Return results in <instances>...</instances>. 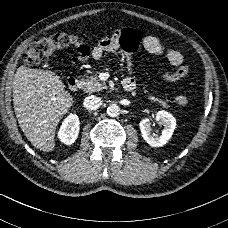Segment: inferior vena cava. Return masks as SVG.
<instances>
[{"label":"inferior vena cava","instance_id":"602c4592","mask_svg":"<svg viewBox=\"0 0 228 228\" xmlns=\"http://www.w3.org/2000/svg\"><path fill=\"white\" fill-rule=\"evenodd\" d=\"M84 104L87 109L96 110L103 104V101L98 96L91 95L86 97Z\"/></svg>","mask_w":228,"mask_h":228}]
</instances>
